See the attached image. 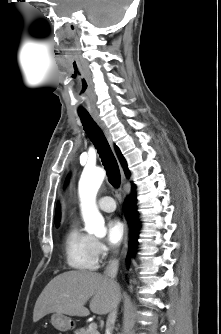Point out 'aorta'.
<instances>
[{
  "mask_svg": "<svg viewBox=\"0 0 221 334\" xmlns=\"http://www.w3.org/2000/svg\"><path fill=\"white\" fill-rule=\"evenodd\" d=\"M104 178L105 172L101 168L85 169L78 185L85 230L97 237H104L107 232L104 218L96 205V195Z\"/></svg>",
  "mask_w": 221,
  "mask_h": 334,
  "instance_id": "aorta-1",
  "label": "aorta"
}]
</instances>
